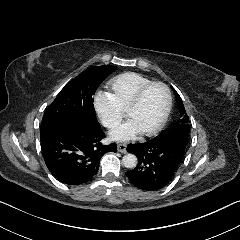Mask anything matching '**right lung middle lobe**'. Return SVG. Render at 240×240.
I'll return each mask as SVG.
<instances>
[{"label":"right lung middle lobe","instance_id":"dd1d6c3e","mask_svg":"<svg viewBox=\"0 0 240 240\" xmlns=\"http://www.w3.org/2000/svg\"><path fill=\"white\" fill-rule=\"evenodd\" d=\"M116 66H99L86 69L60 91L47 108L41 132L76 122L99 124L93 105V94Z\"/></svg>","mask_w":240,"mask_h":240}]
</instances>
